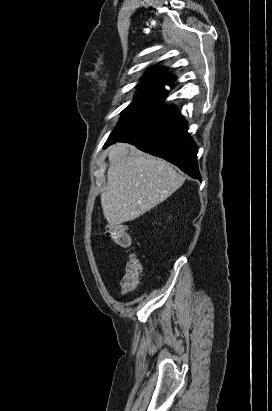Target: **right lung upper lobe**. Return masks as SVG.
<instances>
[{
	"instance_id": "cb5924a9",
	"label": "right lung upper lobe",
	"mask_w": 272,
	"mask_h": 411,
	"mask_svg": "<svg viewBox=\"0 0 272 411\" xmlns=\"http://www.w3.org/2000/svg\"><path fill=\"white\" fill-rule=\"evenodd\" d=\"M145 76L149 77V79L138 88L139 92L137 93L150 95L163 101L167 96L164 84L171 86L174 77L167 75L163 68L156 67L146 72Z\"/></svg>"
}]
</instances>
